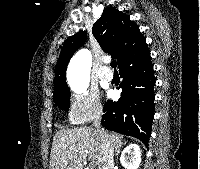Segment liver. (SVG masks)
<instances>
[{"label":"liver","instance_id":"6515ba94","mask_svg":"<svg viewBox=\"0 0 200 169\" xmlns=\"http://www.w3.org/2000/svg\"><path fill=\"white\" fill-rule=\"evenodd\" d=\"M105 138L113 149L122 145V135L104 131ZM103 144L93 128L80 127L61 129L56 132L50 153V169H83L87 157L100 165Z\"/></svg>","mask_w":200,"mask_h":169}]
</instances>
